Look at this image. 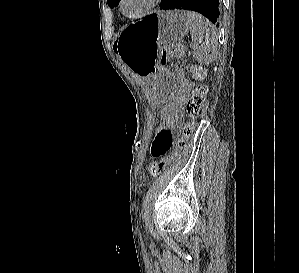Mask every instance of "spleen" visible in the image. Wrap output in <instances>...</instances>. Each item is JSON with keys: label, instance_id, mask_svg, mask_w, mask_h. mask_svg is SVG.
<instances>
[{"label": "spleen", "instance_id": "spleen-1", "mask_svg": "<svg viewBox=\"0 0 299 273\" xmlns=\"http://www.w3.org/2000/svg\"><path fill=\"white\" fill-rule=\"evenodd\" d=\"M183 16L194 42L193 57L202 65L212 63L218 50V35L214 25L202 15L184 11Z\"/></svg>", "mask_w": 299, "mask_h": 273}]
</instances>
